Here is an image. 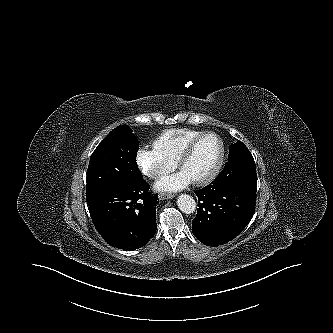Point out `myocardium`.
Masks as SVG:
<instances>
[{"instance_id": "f54148a6", "label": "myocardium", "mask_w": 333, "mask_h": 333, "mask_svg": "<svg viewBox=\"0 0 333 333\" xmlns=\"http://www.w3.org/2000/svg\"><path fill=\"white\" fill-rule=\"evenodd\" d=\"M208 136H213L218 140L219 145H220L219 156H218V159H217L216 163L214 164L213 168L210 170V172L208 174H206L204 177H202L198 180L192 181L196 185H206V184L210 183L211 181H213L216 178V176L220 172V169L223 165L224 158H225V146H224V142L220 138V136L218 134H216L215 132H211V131L201 133L200 135H198L197 137L192 139L186 145V147L184 148V150L182 151V153L180 154V156L177 160V165L181 169L182 165L194 152V150H195L196 146L199 144V142Z\"/></svg>"}]
</instances>
